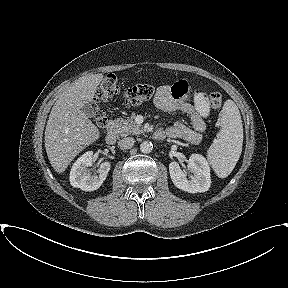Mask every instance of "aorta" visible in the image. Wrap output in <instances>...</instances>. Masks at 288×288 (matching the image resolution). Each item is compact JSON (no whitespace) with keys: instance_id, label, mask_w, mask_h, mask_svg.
<instances>
[{"instance_id":"aorta-1","label":"aorta","mask_w":288,"mask_h":288,"mask_svg":"<svg viewBox=\"0 0 288 288\" xmlns=\"http://www.w3.org/2000/svg\"><path fill=\"white\" fill-rule=\"evenodd\" d=\"M153 149V144L149 141H143L140 144V151L142 153H150Z\"/></svg>"}]
</instances>
